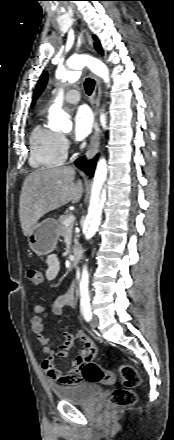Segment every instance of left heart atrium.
<instances>
[{"instance_id": "39dd6f15", "label": "left heart atrium", "mask_w": 174, "mask_h": 440, "mask_svg": "<svg viewBox=\"0 0 174 440\" xmlns=\"http://www.w3.org/2000/svg\"><path fill=\"white\" fill-rule=\"evenodd\" d=\"M93 115L86 106L79 107L73 118V136L75 140L81 141L85 139L92 131Z\"/></svg>"}]
</instances>
